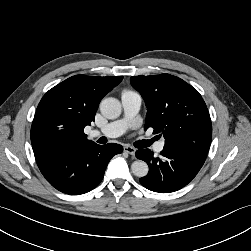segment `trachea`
<instances>
[{
    "mask_svg": "<svg viewBox=\"0 0 251 251\" xmlns=\"http://www.w3.org/2000/svg\"><path fill=\"white\" fill-rule=\"evenodd\" d=\"M153 141H154L153 139H152V140L143 141V142H142V145H143L144 147L149 146Z\"/></svg>",
    "mask_w": 251,
    "mask_h": 251,
    "instance_id": "trachea-1",
    "label": "trachea"
}]
</instances>
